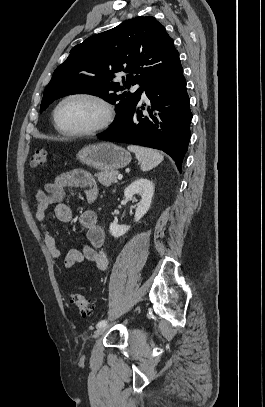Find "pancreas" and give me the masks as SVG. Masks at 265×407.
Here are the masks:
<instances>
[{
  "instance_id": "1",
  "label": "pancreas",
  "mask_w": 265,
  "mask_h": 407,
  "mask_svg": "<svg viewBox=\"0 0 265 407\" xmlns=\"http://www.w3.org/2000/svg\"><path fill=\"white\" fill-rule=\"evenodd\" d=\"M98 178V181L104 186H110L113 183H117V176L118 171L111 170V171H104L95 174Z\"/></svg>"
}]
</instances>
